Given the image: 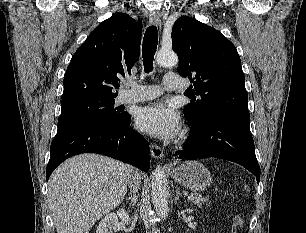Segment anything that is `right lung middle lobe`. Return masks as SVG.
<instances>
[{
	"label": "right lung middle lobe",
	"mask_w": 306,
	"mask_h": 233,
	"mask_svg": "<svg viewBox=\"0 0 306 233\" xmlns=\"http://www.w3.org/2000/svg\"><path fill=\"white\" fill-rule=\"evenodd\" d=\"M114 102V99L84 98L62 103L58 130L94 119L121 120L126 113L120 114L119 110L114 108Z\"/></svg>",
	"instance_id": "obj_1"
}]
</instances>
